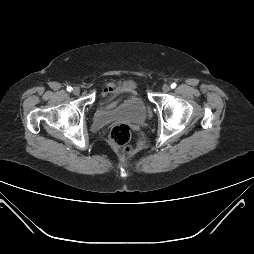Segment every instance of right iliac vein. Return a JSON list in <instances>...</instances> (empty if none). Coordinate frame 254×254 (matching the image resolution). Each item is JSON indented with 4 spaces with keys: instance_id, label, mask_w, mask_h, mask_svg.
<instances>
[{
    "instance_id": "obj_1",
    "label": "right iliac vein",
    "mask_w": 254,
    "mask_h": 254,
    "mask_svg": "<svg viewBox=\"0 0 254 254\" xmlns=\"http://www.w3.org/2000/svg\"><path fill=\"white\" fill-rule=\"evenodd\" d=\"M72 93L74 95H79L80 94V89L78 87H74L73 90H72Z\"/></svg>"
}]
</instances>
